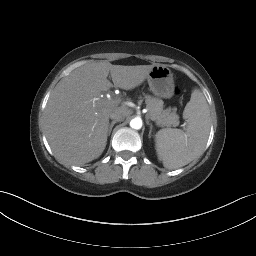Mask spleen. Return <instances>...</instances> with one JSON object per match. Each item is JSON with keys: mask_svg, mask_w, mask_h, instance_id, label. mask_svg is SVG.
<instances>
[{"mask_svg": "<svg viewBox=\"0 0 256 256\" xmlns=\"http://www.w3.org/2000/svg\"><path fill=\"white\" fill-rule=\"evenodd\" d=\"M183 117L187 129L165 128L156 133L155 147L164 167L176 169L187 165L203 151L210 130V111L203 93L194 89Z\"/></svg>", "mask_w": 256, "mask_h": 256, "instance_id": "spleen-1", "label": "spleen"}]
</instances>
